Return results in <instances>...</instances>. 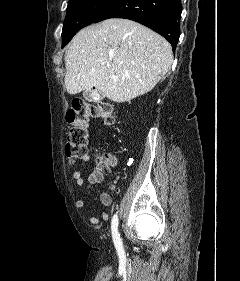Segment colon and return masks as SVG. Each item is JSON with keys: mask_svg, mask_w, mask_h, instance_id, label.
<instances>
[{"mask_svg": "<svg viewBox=\"0 0 240 281\" xmlns=\"http://www.w3.org/2000/svg\"><path fill=\"white\" fill-rule=\"evenodd\" d=\"M91 119H100L105 126H112L115 123V113L107 102L90 103L82 99H74L66 114L68 132L65 154L70 160L88 156V126ZM106 159L107 156L100 159V166Z\"/></svg>", "mask_w": 240, "mask_h": 281, "instance_id": "colon-1", "label": "colon"}]
</instances>
